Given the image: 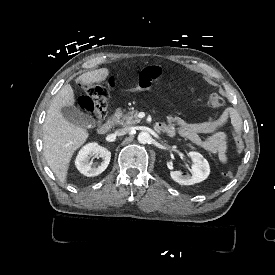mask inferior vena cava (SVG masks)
<instances>
[{
  "instance_id": "602c4592",
  "label": "inferior vena cava",
  "mask_w": 275,
  "mask_h": 275,
  "mask_svg": "<svg viewBox=\"0 0 275 275\" xmlns=\"http://www.w3.org/2000/svg\"><path fill=\"white\" fill-rule=\"evenodd\" d=\"M131 131V128H122L115 131L116 136H123L128 134Z\"/></svg>"
}]
</instances>
